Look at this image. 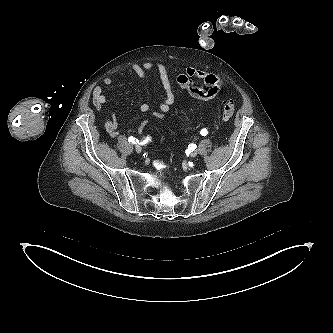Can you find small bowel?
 <instances>
[{
  "label": "small bowel",
  "instance_id": "small-bowel-1",
  "mask_svg": "<svg viewBox=\"0 0 333 333\" xmlns=\"http://www.w3.org/2000/svg\"><path fill=\"white\" fill-rule=\"evenodd\" d=\"M131 70L141 79L145 78L147 73L152 70H156L158 73L160 82L164 90V98L159 105V110L154 111L152 115L155 118H162L164 113H167L171 106L174 104L176 97L172 85V81L167 68L162 63L144 62L142 64H132ZM196 81H200L202 86H198ZM176 83L181 88L186 90L193 98L202 101H211L219 93L222 85L221 78L216 74L196 69L187 68L183 72L179 73L176 77ZM106 86L113 85V79L106 77L104 79ZM93 105L97 110H101L106 102V96L101 86H96L92 94ZM142 112H147L149 106L142 104L140 106ZM147 126V120H143L137 127V132H142ZM105 131L111 138L119 136L118 124L115 119L108 118L104 123Z\"/></svg>",
  "mask_w": 333,
  "mask_h": 333
}]
</instances>
